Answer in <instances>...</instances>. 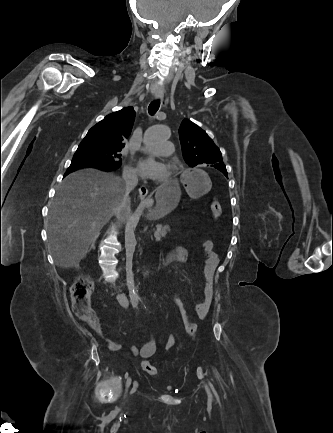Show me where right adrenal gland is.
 <instances>
[{
	"label": "right adrenal gland",
	"instance_id": "2a0ac1e0",
	"mask_svg": "<svg viewBox=\"0 0 333 433\" xmlns=\"http://www.w3.org/2000/svg\"><path fill=\"white\" fill-rule=\"evenodd\" d=\"M93 248H95V242L91 244V246H90V248H89L88 252H90V251H91V249H93Z\"/></svg>",
	"mask_w": 333,
	"mask_h": 433
}]
</instances>
